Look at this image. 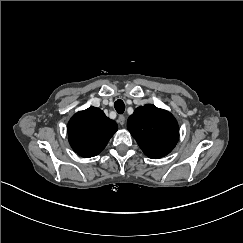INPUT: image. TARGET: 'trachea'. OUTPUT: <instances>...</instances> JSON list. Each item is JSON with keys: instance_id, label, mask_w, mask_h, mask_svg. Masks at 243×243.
Here are the masks:
<instances>
[{"instance_id": "3493384b", "label": "trachea", "mask_w": 243, "mask_h": 243, "mask_svg": "<svg viewBox=\"0 0 243 243\" xmlns=\"http://www.w3.org/2000/svg\"><path fill=\"white\" fill-rule=\"evenodd\" d=\"M114 107H115V110L119 114H123V112L125 111V104H124L123 100H121V99H118L117 101H115Z\"/></svg>"}]
</instances>
